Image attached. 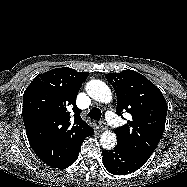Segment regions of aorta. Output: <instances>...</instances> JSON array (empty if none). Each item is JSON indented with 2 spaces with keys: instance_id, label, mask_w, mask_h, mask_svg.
<instances>
[{
  "instance_id": "aorta-1",
  "label": "aorta",
  "mask_w": 187,
  "mask_h": 187,
  "mask_svg": "<svg viewBox=\"0 0 187 187\" xmlns=\"http://www.w3.org/2000/svg\"><path fill=\"white\" fill-rule=\"evenodd\" d=\"M86 92L91 98L101 103H110L112 100L110 88L100 80H90L86 84ZM116 142V134L112 131H105L100 137L101 146L106 149L114 148Z\"/></svg>"
}]
</instances>
